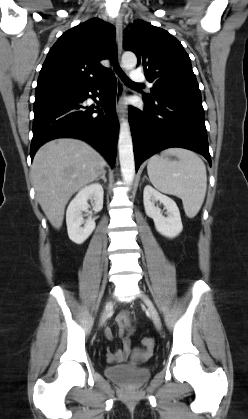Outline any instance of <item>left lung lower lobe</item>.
<instances>
[{
	"instance_id": "left-lung-lower-lobe-1",
	"label": "left lung lower lobe",
	"mask_w": 248,
	"mask_h": 419,
	"mask_svg": "<svg viewBox=\"0 0 248 419\" xmlns=\"http://www.w3.org/2000/svg\"><path fill=\"white\" fill-rule=\"evenodd\" d=\"M143 111L129 107L135 165L155 153L180 147L202 154L211 164L201 97L146 100Z\"/></svg>"
}]
</instances>
